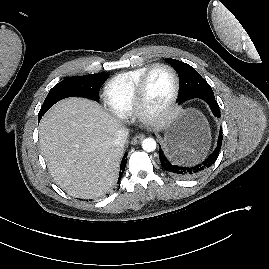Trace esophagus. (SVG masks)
<instances>
[{"mask_svg": "<svg viewBox=\"0 0 269 269\" xmlns=\"http://www.w3.org/2000/svg\"><path fill=\"white\" fill-rule=\"evenodd\" d=\"M145 138V136L143 134H138L136 136H134L131 140V144L135 145L138 144L139 142H141L143 139Z\"/></svg>", "mask_w": 269, "mask_h": 269, "instance_id": "34e87169", "label": "esophagus"}]
</instances>
